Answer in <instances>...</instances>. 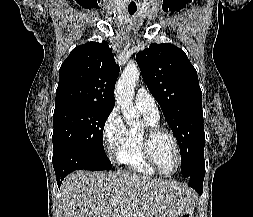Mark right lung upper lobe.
Masks as SVG:
<instances>
[{"instance_id":"right-lung-upper-lobe-1","label":"right lung upper lobe","mask_w":253,"mask_h":217,"mask_svg":"<svg viewBox=\"0 0 253 217\" xmlns=\"http://www.w3.org/2000/svg\"><path fill=\"white\" fill-rule=\"evenodd\" d=\"M119 70L106 41L77 46L60 67L55 106L77 103L113 109Z\"/></svg>"}]
</instances>
